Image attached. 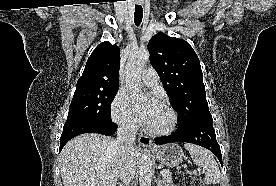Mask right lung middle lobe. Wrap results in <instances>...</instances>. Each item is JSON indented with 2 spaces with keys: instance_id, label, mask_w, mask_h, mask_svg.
Wrapping results in <instances>:
<instances>
[{
  "instance_id": "right-lung-middle-lobe-1",
  "label": "right lung middle lobe",
  "mask_w": 276,
  "mask_h": 186,
  "mask_svg": "<svg viewBox=\"0 0 276 186\" xmlns=\"http://www.w3.org/2000/svg\"><path fill=\"white\" fill-rule=\"evenodd\" d=\"M118 88L76 89L69 107L66 123L80 120L110 121V102L117 94Z\"/></svg>"
}]
</instances>
